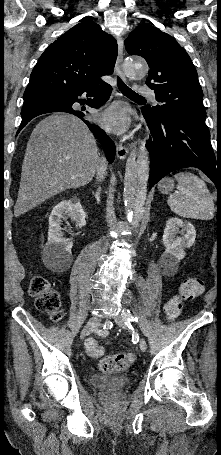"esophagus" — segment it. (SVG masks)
I'll return each instance as SVG.
<instances>
[{
	"label": "esophagus",
	"mask_w": 221,
	"mask_h": 455,
	"mask_svg": "<svg viewBox=\"0 0 221 455\" xmlns=\"http://www.w3.org/2000/svg\"><path fill=\"white\" fill-rule=\"evenodd\" d=\"M123 64V39L121 37L118 38V56H117V74L118 76L126 80L125 74L122 68ZM129 153V147L124 146L122 144L117 145V157L120 160H124Z\"/></svg>",
	"instance_id": "esophagus-1"
}]
</instances>
